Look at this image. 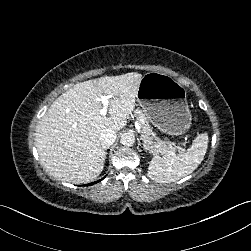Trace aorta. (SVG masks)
I'll return each instance as SVG.
<instances>
[{
  "instance_id": "aorta-1",
  "label": "aorta",
  "mask_w": 251,
  "mask_h": 251,
  "mask_svg": "<svg viewBox=\"0 0 251 251\" xmlns=\"http://www.w3.org/2000/svg\"><path fill=\"white\" fill-rule=\"evenodd\" d=\"M120 142L125 146H132L135 142V137L131 133H123L121 135Z\"/></svg>"
}]
</instances>
